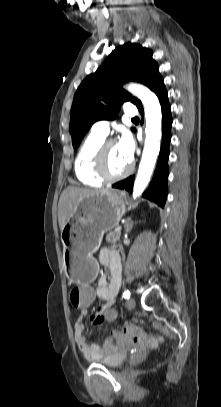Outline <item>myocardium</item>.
<instances>
[{
	"instance_id": "obj_1",
	"label": "myocardium",
	"mask_w": 221,
	"mask_h": 407,
	"mask_svg": "<svg viewBox=\"0 0 221 407\" xmlns=\"http://www.w3.org/2000/svg\"><path fill=\"white\" fill-rule=\"evenodd\" d=\"M117 143L115 139H105L100 145L94 158V172L103 181L115 182L126 178L131 174L134 168L133 162H130L128 167L120 174L112 175L106 168V153L108 148Z\"/></svg>"
}]
</instances>
